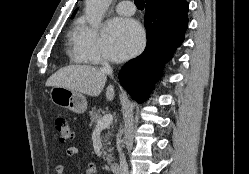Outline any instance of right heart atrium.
Here are the masks:
<instances>
[{"mask_svg":"<svg viewBox=\"0 0 249 174\" xmlns=\"http://www.w3.org/2000/svg\"><path fill=\"white\" fill-rule=\"evenodd\" d=\"M76 51L87 63H101L105 57L99 33L93 27L83 25L76 40Z\"/></svg>","mask_w":249,"mask_h":174,"instance_id":"d8ad5b80","label":"right heart atrium"}]
</instances>
